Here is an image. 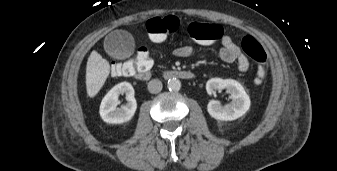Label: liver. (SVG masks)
I'll return each instance as SVG.
<instances>
[{"instance_id":"1","label":"liver","mask_w":337,"mask_h":171,"mask_svg":"<svg viewBox=\"0 0 337 171\" xmlns=\"http://www.w3.org/2000/svg\"><path fill=\"white\" fill-rule=\"evenodd\" d=\"M109 73V62L97 51H92L86 67V89L89 97H94L100 91Z\"/></svg>"}]
</instances>
